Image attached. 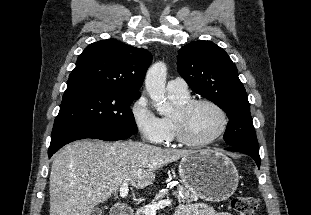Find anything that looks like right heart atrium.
<instances>
[{
  "label": "right heart atrium",
  "instance_id": "d8ad5b80",
  "mask_svg": "<svg viewBox=\"0 0 311 215\" xmlns=\"http://www.w3.org/2000/svg\"><path fill=\"white\" fill-rule=\"evenodd\" d=\"M132 120L144 139L154 144L169 140L170 132L163 118L152 110L147 97L140 94L130 107Z\"/></svg>",
  "mask_w": 311,
  "mask_h": 215
}]
</instances>
